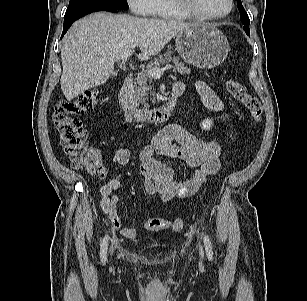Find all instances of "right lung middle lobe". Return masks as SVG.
<instances>
[{
	"label": "right lung middle lobe",
	"instance_id": "dd1d6c3e",
	"mask_svg": "<svg viewBox=\"0 0 307 301\" xmlns=\"http://www.w3.org/2000/svg\"><path fill=\"white\" fill-rule=\"evenodd\" d=\"M126 0H70L64 19L99 10H127Z\"/></svg>",
	"mask_w": 307,
	"mask_h": 301
}]
</instances>
